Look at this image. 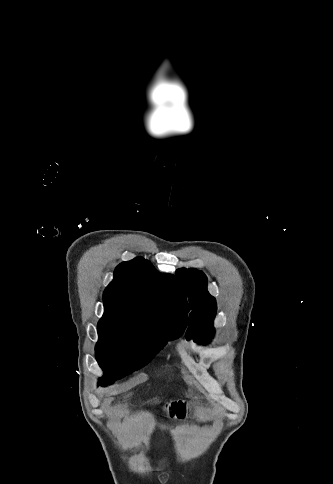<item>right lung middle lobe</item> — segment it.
Returning <instances> with one entry per match:
<instances>
[{
    "label": "right lung middle lobe",
    "mask_w": 333,
    "mask_h": 484,
    "mask_svg": "<svg viewBox=\"0 0 333 484\" xmlns=\"http://www.w3.org/2000/svg\"><path fill=\"white\" fill-rule=\"evenodd\" d=\"M97 329L99 341L95 348L96 356L105 372V376L99 379L101 386L140 369L168 340L181 335L177 328L154 332L138 323L107 319H101Z\"/></svg>",
    "instance_id": "right-lung-middle-lobe-1"
}]
</instances>
